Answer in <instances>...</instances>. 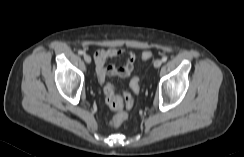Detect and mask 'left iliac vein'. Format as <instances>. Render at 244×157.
I'll return each instance as SVG.
<instances>
[{
	"label": "left iliac vein",
	"mask_w": 244,
	"mask_h": 157,
	"mask_svg": "<svg viewBox=\"0 0 244 157\" xmlns=\"http://www.w3.org/2000/svg\"><path fill=\"white\" fill-rule=\"evenodd\" d=\"M161 64H162V61L161 60H155L154 61V67L155 68H159L161 66Z\"/></svg>",
	"instance_id": "1"
}]
</instances>
